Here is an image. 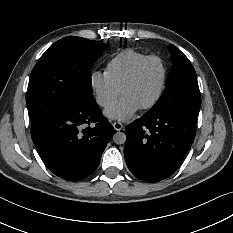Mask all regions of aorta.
Masks as SVG:
<instances>
[{"mask_svg": "<svg viewBox=\"0 0 233 233\" xmlns=\"http://www.w3.org/2000/svg\"><path fill=\"white\" fill-rule=\"evenodd\" d=\"M113 141L117 145H122L126 141V135L123 132H117L113 135Z\"/></svg>", "mask_w": 233, "mask_h": 233, "instance_id": "obj_1", "label": "aorta"}]
</instances>
